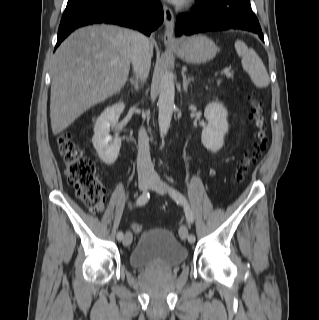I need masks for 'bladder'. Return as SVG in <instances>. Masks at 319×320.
Returning a JSON list of instances; mask_svg holds the SVG:
<instances>
[{"instance_id": "obj_1", "label": "bladder", "mask_w": 319, "mask_h": 320, "mask_svg": "<svg viewBox=\"0 0 319 320\" xmlns=\"http://www.w3.org/2000/svg\"><path fill=\"white\" fill-rule=\"evenodd\" d=\"M187 256V249L170 230L153 228L140 234L128 260L134 268L174 267L182 264Z\"/></svg>"}]
</instances>
